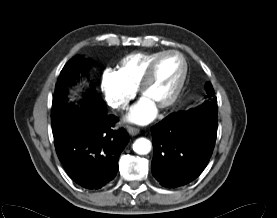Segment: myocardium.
<instances>
[{
	"label": "myocardium",
	"mask_w": 277,
	"mask_h": 218,
	"mask_svg": "<svg viewBox=\"0 0 277 218\" xmlns=\"http://www.w3.org/2000/svg\"><path fill=\"white\" fill-rule=\"evenodd\" d=\"M168 55H176L181 59L182 65H183V71H182L180 80H179L175 90L173 91L171 97L166 102H164L162 105H160L159 109H167V108L171 107L173 104H175V102L180 97V94L183 90V87L185 85L187 75H188V62H187L185 56L176 50H166V51L159 53L148 65V67L139 83V86H138L139 92L141 93V95H143L146 87L149 85V83L152 81V79L154 77L155 70H156L158 63L160 62L161 59H163L164 57H166Z\"/></svg>",
	"instance_id": "f54148a6"
}]
</instances>
